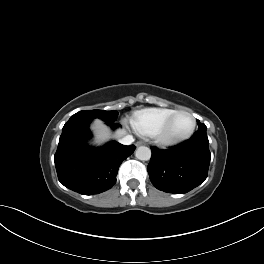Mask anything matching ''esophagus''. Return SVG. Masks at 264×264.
Here are the masks:
<instances>
[{"mask_svg":"<svg viewBox=\"0 0 264 264\" xmlns=\"http://www.w3.org/2000/svg\"><path fill=\"white\" fill-rule=\"evenodd\" d=\"M142 144H143L142 142H137V143H136L137 146H140V145H142Z\"/></svg>","mask_w":264,"mask_h":264,"instance_id":"esophagus-1","label":"esophagus"}]
</instances>
